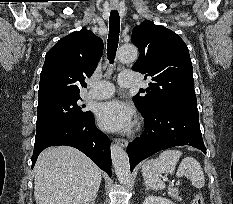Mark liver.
<instances>
[{
	"label": "liver",
	"mask_w": 233,
	"mask_h": 204,
	"mask_svg": "<svg viewBox=\"0 0 233 204\" xmlns=\"http://www.w3.org/2000/svg\"><path fill=\"white\" fill-rule=\"evenodd\" d=\"M101 180V170L79 150L49 147L35 165L36 204H90Z\"/></svg>",
	"instance_id": "1"
}]
</instances>
